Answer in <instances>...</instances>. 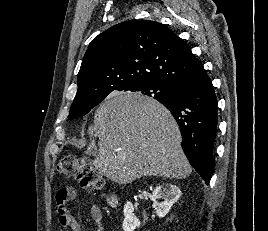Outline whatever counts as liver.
Instances as JSON below:
<instances>
[{"label": "liver", "mask_w": 268, "mask_h": 231, "mask_svg": "<svg viewBox=\"0 0 268 231\" xmlns=\"http://www.w3.org/2000/svg\"><path fill=\"white\" fill-rule=\"evenodd\" d=\"M90 133L99 138L94 167L113 182L128 184L143 176L182 179L192 172L169 110L139 93H115L101 103Z\"/></svg>", "instance_id": "obj_1"}]
</instances>
